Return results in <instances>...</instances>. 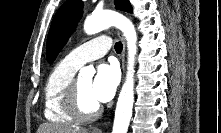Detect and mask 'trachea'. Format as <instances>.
Returning a JSON list of instances; mask_svg holds the SVG:
<instances>
[{
  "mask_svg": "<svg viewBox=\"0 0 221 133\" xmlns=\"http://www.w3.org/2000/svg\"><path fill=\"white\" fill-rule=\"evenodd\" d=\"M122 49H123L122 43H121V42H116V43H115V51H116L117 53H121V52H122Z\"/></svg>",
  "mask_w": 221,
  "mask_h": 133,
  "instance_id": "trachea-1",
  "label": "trachea"
}]
</instances>
